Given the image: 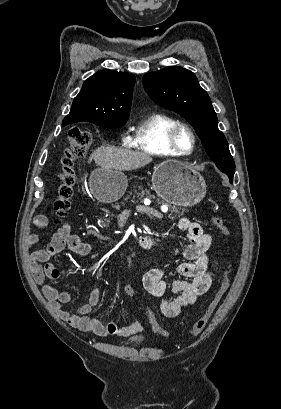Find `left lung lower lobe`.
I'll use <instances>...</instances> for the list:
<instances>
[{"label": "left lung lower lobe", "mask_w": 281, "mask_h": 409, "mask_svg": "<svg viewBox=\"0 0 281 409\" xmlns=\"http://www.w3.org/2000/svg\"><path fill=\"white\" fill-rule=\"evenodd\" d=\"M227 175H228V177H229V179H230V182L233 183V176H234V174H229V173H227Z\"/></svg>", "instance_id": "0a47b994"}]
</instances>
